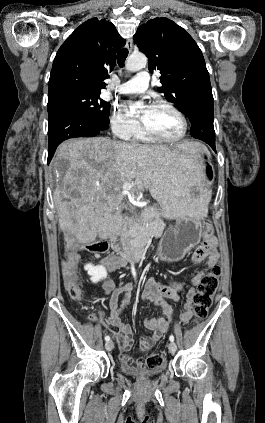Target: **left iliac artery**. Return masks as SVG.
I'll return each instance as SVG.
<instances>
[{
  "instance_id": "1",
  "label": "left iliac artery",
  "mask_w": 265,
  "mask_h": 423,
  "mask_svg": "<svg viewBox=\"0 0 265 423\" xmlns=\"http://www.w3.org/2000/svg\"><path fill=\"white\" fill-rule=\"evenodd\" d=\"M169 340H170L171 342H173V341H174V336H173V335H171V336L169 337Z\"/></svg>"
}]
</instances>
